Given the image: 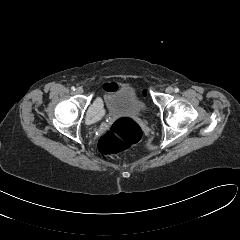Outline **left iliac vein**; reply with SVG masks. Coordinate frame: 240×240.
Here are the masks:
<instances>
[{
	"label": "left iliac vein",
	"instance_id": "obj_1",
	"mask_svg": "<svg viewBox=\"0 0 240 240\" xmlns=\"http://www.w3.org/2000/svg\"><path fill=\"white\" fill-rule=\"evenodd\" d=\"M165 91L168 94H172L174 92V89L172 87H167Z\"/></svg>",
	"mask_w": 240,
	"mask_h": 240
}]
</instances>
